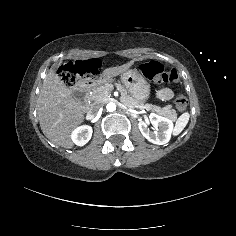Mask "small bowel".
<instances>
[{"instance_id": "1", "label": "small bowel", "mask_w": 236, "mask_h": 236, "mask_svg": "<svg viewBox=\"0 0 236 236\" xmlns=\"http://www.w3.org/2000/svg\"><path fill=\"white\" fill-rule=\"evenodd\" d=\"M158 97L162 100H169L174 97V93L170 89H162L158 92Z\"/></svg>"}]
</instances>
